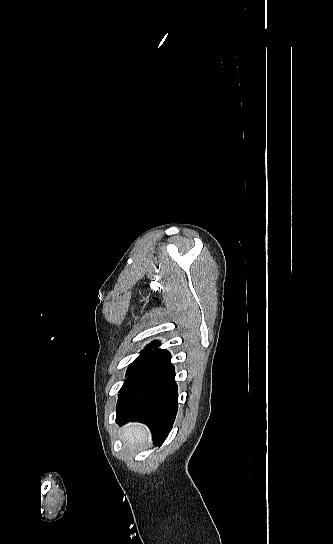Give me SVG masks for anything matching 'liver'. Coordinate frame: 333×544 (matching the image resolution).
<instances>
[{"instance_id":"obj_1","label":"liver","mask_w":333,"mask_h":544,"mask_svg":"<svg viewBox=\"0 0 333 544\" xmlns=\"http://www.w3.org/2000/svg\"><path fill=\"white\" fill-rule=\"evenodd\" d=\"M147 438H149V432L140 424H128L123 429V441L128 444H142L147 441Z\"/></svg>"}]
</instances>
